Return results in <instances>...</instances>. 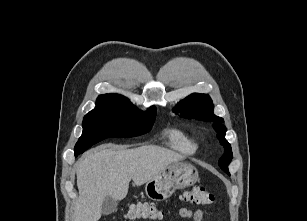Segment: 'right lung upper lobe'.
Returning a JSON list of instances; mask_svg holds the SVG:
<instances>
[{
  "label": "right lung upper lobe",
  "mask_w": 307,
  "mask_h": 221,
  "mask_svg": "<svg viewBox=\"0 0 307 221\" xmlns=\"http://www.w3.org/2000/svg\"><path fill=\"white\" fill-rule=\"evenodd\" d=\"M102 102H115V103H128L131 102L124 96L118 94H103L98 96L96 103Z\"/></svg>",
  "instance_id": "obj_1"
}]
</instances>
